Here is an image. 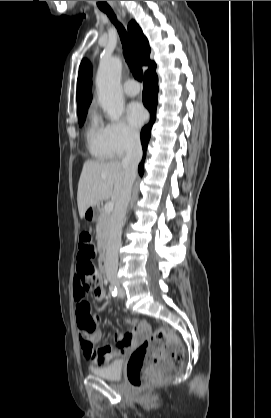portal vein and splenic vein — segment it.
Wrapping results in <instances>:
<instances>
[{"label":"portal vein and splenic vein","mask_w":271,"mask_h":418,"mask_svg":"<svg viewBox=\"0 0 271 418\" xmlns=\"http://www.w3.org/2000/svg\"><path fill=\"white\" fill-rule=\"evenodd\" d=\"M113 208H114V203L113 202H108L104 206L105 212L109 213V214L112 212Z\"/></svg>","instance_id":"1"}]
</instances>
